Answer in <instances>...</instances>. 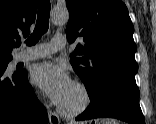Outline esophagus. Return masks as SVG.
I'll return each mask as SVG.
<instances>
[{
  "instance_id": "esophagus-1",
  "label": "esophagus",
  "mask_w": 156,
  "mask_h": 124,
  "mask_svg": "<svg viewBox=\"0 0 156 124\" xmlns=\"http://www.w3.org/2000/svg\"><path fill=\"white\" fill-rule=\"evenodd\" d=\"M48 115L50 124H60V119L56 113L49 111Z\"/></svg>"
}]
</instances>
